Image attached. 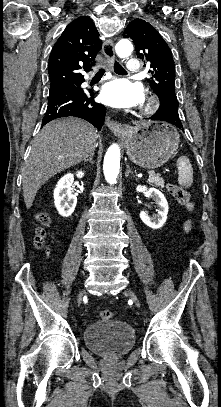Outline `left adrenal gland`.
Here are the masks:
<instances>
[{
  "label": "left adrenal gland",
  "instance_id": "1",
  "mask_svg": "<svg viewBox=\"0 0 221 407\" xmlns=\"http://www.w3.org/2000/svg\"><path fill=\"white\" fill-rule=\"evenodd\" d=\"M129 175H133V172L130 170L129 165H127V169H126V172H125V177L126 178L129 177Z\"/></svg>",
  "mask_w": 221,
  "mask_h": 407
}]
</instances>
